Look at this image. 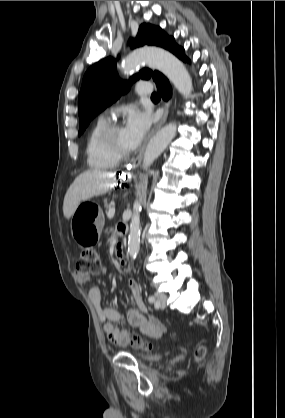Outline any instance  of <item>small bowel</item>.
Here are the masks:
<instances>
[{
	"label": "small bowel",
	"instance_id": "small-bowel-1",
	"mask_svg": "<svg viewBox=\"0 0 285 418\" xmlns=\"http://www.w3.org/2000/svg\"><path fill=\"white\" fill-rule=\"evenodd\" d=\"M106 268L101 266L100 273L104 274ZM75 280L79 283H84L88 280V277L84 274L75 273ZM128 290L132 299L137 305L138 309H129L127 311V320L132 327L138 328L142 333L150 337H160L165 331L164 325L152 318L146 310L140 293L139 285L137 281L130 278L127 282ZM89 298L93 304L97 315L99 316L103 331L108 337L109 341L116 345H124L127 343V331L118 329L115 323L120 319V314L112 307H104L102 305L103 295L100 287L93 286L89 290Z\"/></svg>",
	"mask_w": 285,
	"mask_h": 418
}]
</instances>
